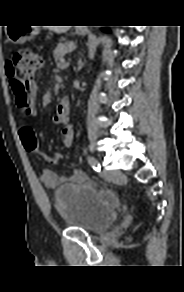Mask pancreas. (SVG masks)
<instances>
[{
  "label": "pancreas",
  "mask_w": 184,
  "mask_h": 292,
  "mask_svg": "<svg viewBox=\"0 0 184 292\" xmlns=\"http://www.w3.org/2000/svg\"><path fill=\"white\" fill-rule=\"evenodd\" d=\"M75 43L71 41L60 42L54 50V58L56 61H60L63 59L66 53L75 49Z\"/></svg>",
  "instance_id": "1"
}]
</instances>
